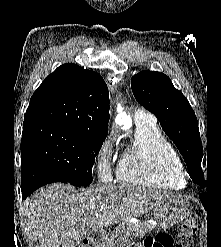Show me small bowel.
Masks as SVG:
<instances>
[{
	"label": "small bowel",
	"instance_id": "c3829d8e",
	"mask_svg": "<svg viewBox=\"0 0 221 247\" xmlns=\"http://www.w3.org/2000/svg\"><path fill=\"white\" fill-rule=\"evenodd\" d=\"M139 247H147V246H146L145 243H144L143 245H140Z\"/></svg>",
	"mask_w": 221,
	"mask_h": 247
}]
</instances>
